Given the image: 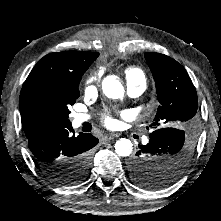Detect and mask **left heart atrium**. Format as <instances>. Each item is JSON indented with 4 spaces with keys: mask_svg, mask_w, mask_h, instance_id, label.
<instances>
[{
    "mask_svg": "<svg viewBox=\"0 0 221 221\" xmlns=\"http://www.w3.org/2000/svg\"><path fill=\"white\" fill-rule=\"evenodd\" d=\"M105 123H106L108 126H110V125L113 123V121H112L111 118L108 117V118H106Z\"/></svg>",
    "mask_w": 221,
    "mask_h": 221,
    "instance_id": "left-heart-atrium-1",
    "label": "left heart atrium"
}]
</instances>
